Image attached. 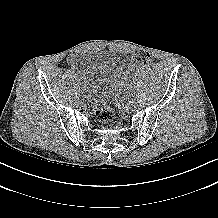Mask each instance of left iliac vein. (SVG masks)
Listing matches in <instances>:
<instances>
[{"label":"left iliac vein","mask_w":218,"mask_h":218,"mask_svg":"<svg viewBox=\"0 0 218 218\" xmlns=\"http://www.w3.org/2000/svg\"><path fill=\"white\" fill-rule=\"evenodd\" d=\"M128 102H129V103H132V102H133V99H132V98H129V99H128Z\"/></svg>","instance_id":"left-iliac-vein-1"}]
</instances>
